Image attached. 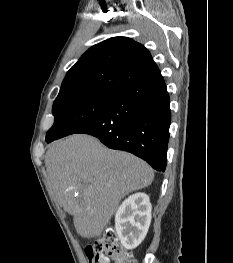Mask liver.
Masks as SVG:
<instances>
[{"label":"liver","mask_w":233,"mask_h":263,"mask_svg":"<svg viewBox=\"0 0 233 263\" xmlns=\"http://www.w3.org/2000/svg\"><path fill=\"white\" fill-rule=\"evenodd\" d=\"M49 183L83 238L99 236L120 201L149 186L150 166L132 154L106 148L97 138L74 134L50 144L45 155Z\"/></svg>","instance_id":"obj_1"}]
</instances>
